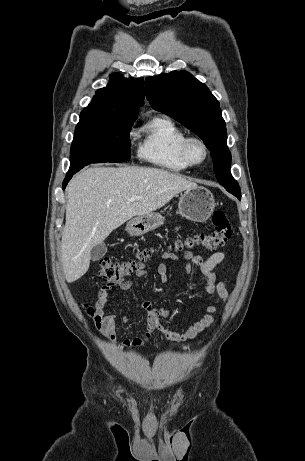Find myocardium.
Returning a JSON list of instances; mask_svg holds the SVG:
<instances>
[{"mask_svg":"<svg viewBox=\"0 0 305 461\" xmlns=\"http://www.w3.org/2000/svg\"><path fill=\"white\" fill-rule=\"evenodd\" d=\"M194 144L199 145L203 149V157L201 160H195L192 156L191 148ZM182 155L184 159L192 166L203 164L209 156V148L207 144L198 137L187 136L182 144Z\"/></svg>","mask_w":305,"mask_h":461,"instance_id":"myocardium-1","label":"myocardium"}]
</instances>
